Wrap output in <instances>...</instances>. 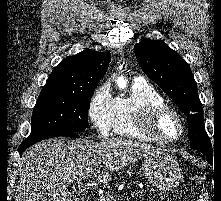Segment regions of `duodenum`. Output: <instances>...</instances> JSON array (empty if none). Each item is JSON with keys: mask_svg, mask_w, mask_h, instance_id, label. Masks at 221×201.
Masks as SVG:
<instances>
[{"mask_svg": "<svg viewBox=\"0 0 221 201\" xmlns=\"http://www.w3.org/2000/svg\"><path fill=\"white\" fill-rule=\"evenodd\" d=\"M77 201H84V199H79V200H77Z\"/></svg>", "mask_w": 221, "mask_h": 201, "instance_id": "1", "label": "duodenum"}]
</instances>
